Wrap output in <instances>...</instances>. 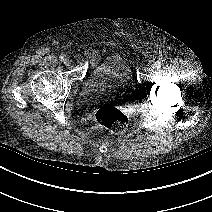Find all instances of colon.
<instances>
[{"mask_svg": "<svg viewBox=\"0 0 212 212\" xmlns=\"http://www.w3.org/2000/svg\"><path fill=\"white\" fill-rule=\"evenodd\" d=\"M95 122L100 128L111 133L123 132L129 123L128 116L114 107H102L95 114Z\"/></svg>", "mask_w": 212, "mask_h": 212, "instance_id": "5ec220e1", "label": "colon"}]
</instances>
